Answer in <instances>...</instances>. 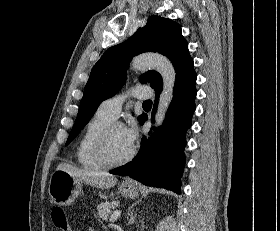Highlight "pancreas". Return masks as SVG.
I'll list each match as a JSON object with an SVG mask.
<instances>
[{"label":"pancreas","mask_w":280,"mask_h":231,"mask_svg":"<svg viewBox=\"0 0 280 231\" xmlns=\"http://www.w3.org/2000/svg\"><path fill=\"white\" fill-rule=\"evenodd\" d=\"M119 201H103V203H99L97 205L98 215L102 217V219H107L109 217L110 207H117Z\"/></svg>","instance_id":"1"}]
</instances>
